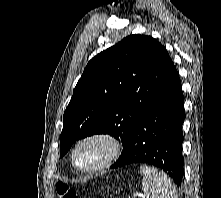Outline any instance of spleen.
Returning a JSON list of instances; mask_svg holds the SVG:
<instances>
[{
	"instance_id": "spleen-1",
	"label": "spleen",
	"mask_w": 221,
	"mask_h": 198,
	"mask_svg": "<svg viewBox=\"0 0 221 198\" xmlns=\"http://www.w3.org/2000/svg\"><path fill=\"white\" fill-rule=\"evenodd\" d=\"M145 198H178L175 185L162 171L147 165L140 167Z\"/></svg>"
}]
</instances>
